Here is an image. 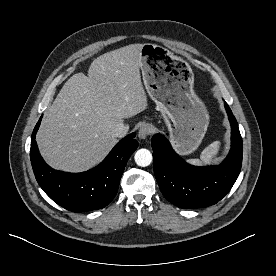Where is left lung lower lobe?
I'll list each match as a JSON object with an SVG mask.
<instances>
[{
    "label": "left lung lower lobe",
    "mask_w": 276,
    "mask_h": 276,
    "mask_svg": "<svg viewBox=\"0 0 276 276\" xmlns=\"http://www.w3.org/2000/svg\"><path fill=\"white\" fill-rule=\"evenodd\" d=\"M232 147L219 166L194 167L183 161L161 135L153 136V168L164 197L180 208H201L221 200L235 183L242 165L243 142L236 118L225 102Z\"/></svg>",
    "instance_id": "left-lung-lower-lobe-1"
}]
</instances>
